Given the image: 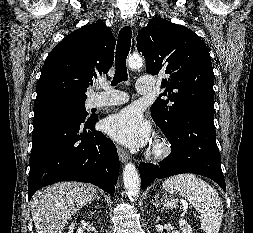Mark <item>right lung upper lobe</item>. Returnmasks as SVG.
<instances>
[{
	"instance_id": "cb5924a9",
	"label": "right lung upper lobe",
	"mask_w": 253,
	"mask_h": 233,
	"mask_svg": "<svg viewBox=\"0 0 253 233\" xmlns=\"http://www.w3.org/2000/svg\"><path fill=\"white\" fill-rule=\"evenodd\" d=\"M114 49L111 28L100 20L67 35L45 60L35 103L51 98L86 100L92 78L111 68Z\"/></svg>"
}]
</instances>
